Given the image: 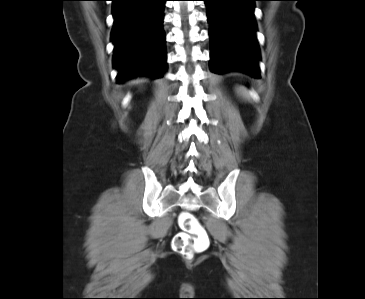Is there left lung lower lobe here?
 Instances as JSON below:
<instances>
[{
	"label": "left lung lower lobe",
	"instance_id": "1",
	"mask_svg": "<svg viewBox=\"0 0 365 299\" xmlns=\"http://www.w3.org/2000/svg\"><path fill=\"white\" fill-rule=\"evenodd\" d=\"M203 1L210 23L212 71H242L259 78L260 54L253 14L257 0Z\"/></svg>",
	"mask_w": 365,
	"mask_h": 299
}]
</instances>
